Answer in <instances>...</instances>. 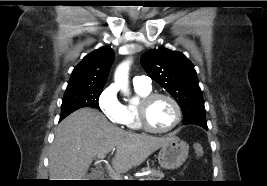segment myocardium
<instances>
[{"mask_svg": "<svg viewBox=\"0 0 267 186\" xmlns=\"http://www.w3.org/2000/svg\"><path fill=\"white\" fill-rule=\"evenodd\" d=\"M158 98L167 99L174 107L175 110V120L167 128L157 129L151 126L148 120V112L152 102ZM138 119L142 129L150 133L162 134L168 133L174 130L181 122L182 111L179 103L169 94L162 92H150L147 95L143 96L138 103Z\"/></svg>", "mask_w": 267, "mask_h": 186, "instance_id": "1", "label": "myocardium"}]
</instances>
